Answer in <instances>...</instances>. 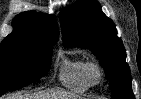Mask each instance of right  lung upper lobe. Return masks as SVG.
Returning <instances> with one entry per match:
<instances>
[{
	"instance_id": "cb5924a9",
	"label": "right lung upper lobe",
	"mask_w": 141,
	"mask_h": 99,
	"mask_svg": "<svg viewBox=\"0 0 141 99\" xmlns=\"http://www.w3.org/2000/svg\"><path fill=\"white\" fill-rule=\"evenodd\" d=\"M13 32L4 40H23L36 43H56L58 30L53 15L33 11L16 16L12 22Z\"/></svg>"
}]
</instances>
